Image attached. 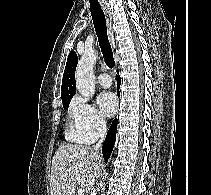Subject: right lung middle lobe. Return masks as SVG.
Wrapping results in <instances>:
<instances>
[{
    "mask_svg": "<svg viewBox=\"0 0 211 195\" xmlns=\"http://www.w3.org/2000/svg\"><path fill=\"white\" fill-rule=\"evenodd\" d=\"M69 103H70V102L63 103L64 109H68Z\"/></svg>",
    "mask_w": 211,
    "mask_h": 195,
    "instance_id": "obj_1",
    "label": "right lung middle lobe"
}]
</instances>
